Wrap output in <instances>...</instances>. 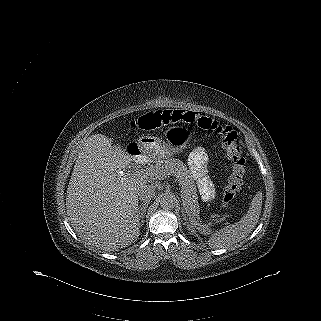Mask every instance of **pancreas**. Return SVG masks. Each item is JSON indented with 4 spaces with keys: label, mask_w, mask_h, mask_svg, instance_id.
Here are the masks:
<instances>
[{
    "label": "pancreas",
    "mask_w": 321,
    "mask_h": 321,
    "mask_svg": "<svg viewBox=\"0 0 321 321\" xmlns=\"http://www.w3.org/2000/svg\"><path fill=\"white\" fill-rule=\"evenodd\" d=\"M154 169L165 176H174L181 187V195L184 199V206L189 216L195 218L199 214L198 197L196 186L186 165L178 159H163L156 162ZM165 178V177H164Z\"/></svg>",
    "instance_id": "pancreas-1"
}]
</instances>
